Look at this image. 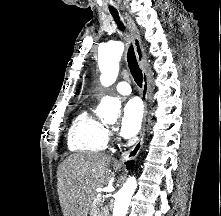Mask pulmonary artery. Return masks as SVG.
<instances>
[{
  "label": "pulmonary artery",
  "mask_w": 221,
  "mask_h": 216,
  "mask_svg": "<svg viewBox=\"0 0 221 216\" xmlns=\"http://www.w3.org/2000/svg\"><path fill=\"white\" fill-rule=\"evenodd\" d=\"M115 90L122 95H129L131 93V87L126 81L118 82L115 86Z\"/></svg>",
  "instance_id": "obj_1"
}]
</instances>
